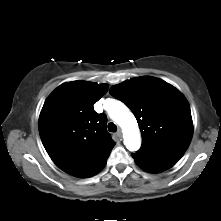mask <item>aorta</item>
<instances>
[{
  "label": "aorta",
  "mask_w": 221,
  "mask_h": 221,
  "mask_svg": "<svg viewBox=\"0 0 221 221\" xmlns=\"http://www.w3.org/2000/svg\"><path fill=\"white\" fill-rule=\"evenodd\" d=\"M109 116L123 129L124 145L129 151H137L141 146L140 131L134 115L120 101H113Z\"/></svg>",
  "instance_id": "aorta-1"
}]
</instances>
